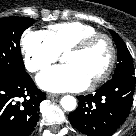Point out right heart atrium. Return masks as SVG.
Returning <instances> with one entry per match:
<instances>
[{"label":"right heart atrium","instance_id":"d8ad5b80","mask_svg":"<svg viewBox=\"0 0 136 136\" xmlns=\"http://www.w3.org/2000/svg\"><path fill=\"white\" fill-rule=\"evenodd\" d=\"M23 62L30 72H37L55 62L59 57L47 34L43 31L26 30L21 37Z\"/></svg>","mask_w":136,"mask_h":136}]
</instances>
